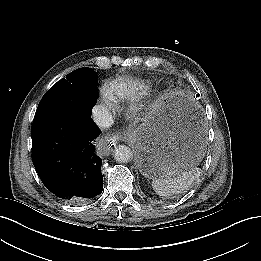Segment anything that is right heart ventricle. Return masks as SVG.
<instances>
[{
  "label": "right heart ventricle",
  "instance_id": "1",
  "mask_svg": "<svg viewBox=\"0 0 261 261\" xmlns=\"http://www.w3.org/2000/svg\"><path fill=\"white\" fill-rule=\"evenodd\" d=\"M107 92L115 97V99L124 98L130 93L126 83L123 80L111 84Z\"/></svg>",
  "mask_w": 261,
  "mask_h": 261
}]
</instances>
